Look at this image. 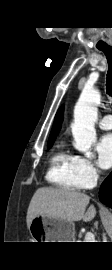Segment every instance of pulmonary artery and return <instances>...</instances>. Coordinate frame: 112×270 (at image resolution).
<instances>
[{
	"label": "pulmonary artery",
	"mask_w": 112,
	"mask_h": 270,
	"mask_svg": "<svg viewBox=\"0 0 112 270\" xmlns=\"http://www.w3.org/2000/svg\"><path fill=\"white\" fill-rule=\"evenodd\" d=\"M99 127L103 130H111L112 129V115H106L99 122Z\"/></svg>",
	"instance_id": "1"
}]
</instances>
